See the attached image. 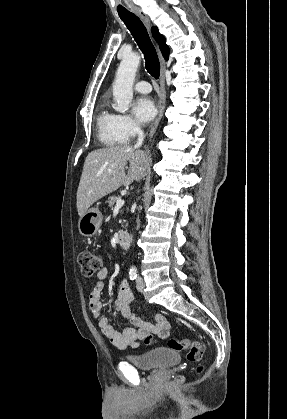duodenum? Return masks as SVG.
<instances>
[{"label": "duodenum", "mask_w": 287, "mask_h": 419, "mask_svg": "<svg viewBox=\"0 0 287 419\" xmlns=\"http://www.w3.org/2000/svg\"><path fill=\"white\" fill-rule=\"evenodd\" d=\"M117 243L122 249H128L131 244L130 235L127 232H120L117 235Z\"/></svg>", "instance_id": "1"}]
</instances>
